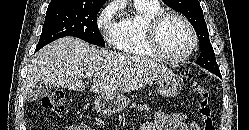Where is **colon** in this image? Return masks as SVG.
Wrapping results in <instances>:
<instances>
[{
  "label": "colon",
  "instance_id": "5ec220e1",
  "mask_svg": "<svg viewBox=\"0 0 249 130\" xmlns=\"http://www.w3.org/2000/svg\"><path fill=\"white\" fill-rule=\"evenodd\" d=\"M191 90L199 97V113L203 122L204 130H216V125L212 116V111L209 105V93L207 89L200 83L194 82ZM44 108L61 114L64 111V93L61 90L52 92L42 99Z\"/></svg>",
  "mask_w": 249,
  "mask_h": 130
}]
</instances>
